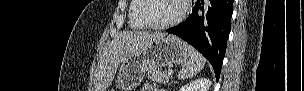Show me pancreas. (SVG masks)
Masks as SVG:
<instances>
[{
    "instance_id": "cf45deb5",
    "label": "pancreas",
    "mask_w": 304,
    "mask_h": 91,
    "mask_svg": "<svg viewBox=\"0 0 304 91\" xmlns=\"http://www.w3.org/2000/svg\"><path fill=\"white\" fill-rule=\"evenodd\" d=\"M149 78L158 83H167L171 75H169L166 71L161 70L160 68L150 67L148 69Z\"/></svg>"
}]
</instances>
